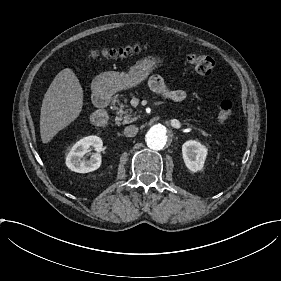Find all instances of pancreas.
I'll return each mask as SVG.
<instances>
[{
	"label": "pancreas",
	"mask_w": 281,
	"mask_h": 281,
	"mask_svg": "<svg viewBox=\"0 0 281 281\" xmlns=\"http://www.w3.org/2000/svg\"><path fill=\"white\" fill-rule=\"evenodd\" d=\"M113 102H119V100L114 97ZM125 105L123 103H119V107L114 106V109L117 110L118 117L115 118L116 124H129L138 119V117L135 116V113L132 109H124Z\"/></svg>",
	"instance_id": "cf45deb5"
}]
</instances>
